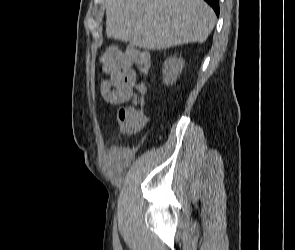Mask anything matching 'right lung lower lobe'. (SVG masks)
Instances as JSON below:
<instances>
[{
    "instance_id": "right-lung-lower-lobe-1",
    "label": "right lung lower lobe",
    "mask_w": 295,
    "mask_h": 250,
    "mask_svg": "<svg viewBox=\"0 0 295 250\" xmlns=\"http://www.w3.org/2000/svg\"><path fill=\"white\" fill-rule=\"evenodd\" d=\"M216 12L217 16H219V0H205Z\"/></svg>"
}]
</instances>
